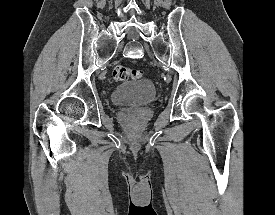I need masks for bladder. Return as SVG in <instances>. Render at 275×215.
Masks as SVG:
<instances>
[{
	"instance_id": "1",
	"label": "bladder",
	"mask_w": 275,
	"mask_h": 215,
	"mask_svg": "<svg viewBox=\"0 0 275 215\" xmlns=\"http://www.w3.org/2000/svg\"><path fill=\"white\" fill-rule=\"evenodd\" d=\"M154 84L148 79H136L115 87L111 92V101L119 106H144L154 101Z\"/></svg>"
}]
</instances>
